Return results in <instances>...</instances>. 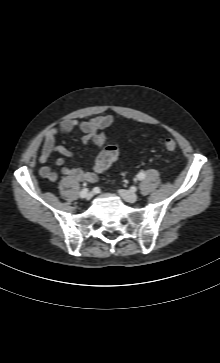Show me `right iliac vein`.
Segmentation results:
<instances>
[{
    "instance_id": "right-iliac-vein-1",
    "label": "right iliac vein",
    "mask_w": 220,
    "mask_h": 363,
    "mask_svg": "<svg viewBox=\"0 0 220 363\" xmlns=\"http://www.w3.org/2000/svg\"><path fill=\"white\" fill-rule=\"evenodd\" d=\"M93 194L91 192H87V194L85 195V199L86 200H90L92 198Z\"/></svg>"
}]
</instances>
